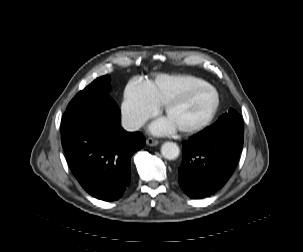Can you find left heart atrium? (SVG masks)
Masks as SVG:
<instances>
[{
	"label": "left heart atrium",
	"mask_w": 303,
	"mask_h": 252,
	"mask_svg": "<svg viewBox=\"0 0 303 252\" xmlns=\"http://www.w3.org/2000/svg\"><path fill=\"white\" fill-rule=\"evenodd\" d=\"M149 130L152 134L160 136L172 133L175 126L168 118H160L150 125Z\"/></svg>",
	"instance_id": "left-heart-atrium-1"
}]
</instances>
